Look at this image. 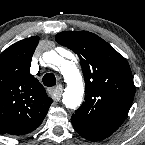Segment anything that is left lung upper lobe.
Segmentation results:
<instances>
[{"instance_id":"obj_1","label":"left lung upper lobe","mask_w":145,"mask_h":145,"mask_svg":"<svg viewBox=\"0 0 145 145\" xmlns=\"http://www.w3.org/2000/svg\"><path fill=\"white\" fill-rule=\"evenodd\" d=\"M55 39L79 56L85 78V101L72 118L112 134L125 120L134 98L127 61L91 32L64 31Z\"/></svg>"}]
</instances>
